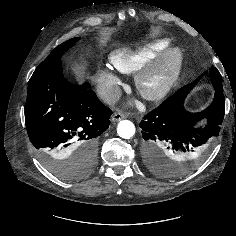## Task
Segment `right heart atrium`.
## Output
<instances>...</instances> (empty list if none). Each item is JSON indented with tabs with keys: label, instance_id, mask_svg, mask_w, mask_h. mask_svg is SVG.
<instances>
[{
	"label": "right heart atrium",
	"instance_id": "right-heart-atrium-1",
	"mask_svg": "<svg viewBox=\"0 0 236 236\" xmlns=\"http://www.w3.org/2000/svg\"><path fill=\"white\" fill-rule=\"evenodd\" d=\"M95 83L100 98L106 103H113L119 96L120 79L112 67L99 69Z\"/></svg>",
	"mask_w": 236,
	"mask_h": 236
}]
</instances>
